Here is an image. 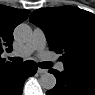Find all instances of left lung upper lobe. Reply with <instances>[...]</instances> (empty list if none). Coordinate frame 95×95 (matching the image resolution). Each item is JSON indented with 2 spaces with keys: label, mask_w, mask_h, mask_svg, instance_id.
<instances>
[{
  "label": "left lung upper lobe",
  "mask_w": 95,
  "mask_h": 95,
  "mask_svg": "<svg viewBox=\"0 0 95 95\" xmlns=\"http://www.w3.org/2000/svg\"><path fill=\"white\" fill-rule=\"evenodd\" d=\"M29 21L41 27L49 47L63 53L64 67L95 73V16L73 7L43 8Z\"/></svg>",
  "instance_id": "obj_1"
}]
</instances>
